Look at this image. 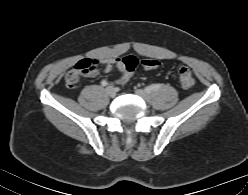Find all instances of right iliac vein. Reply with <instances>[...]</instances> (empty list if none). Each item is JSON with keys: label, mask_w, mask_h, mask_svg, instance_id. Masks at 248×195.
Wrapping results in <instances>:
<instances>
[{"label": "right iliac vein", "mask_w": 248, "mask_h": 195, "mask_svg": "<svg viewBox=\"0 0 248 195\" xmlns=\"http://www.w3.org/2000/svg\"><path fill=\"white\" fill-rule=\"evenodd\" d=\"M106 92L111 98H114L116 96V91L112 86H107Z\"/></svg>", "instance_id": "right-iliac-vein-1"}]
</instances>
